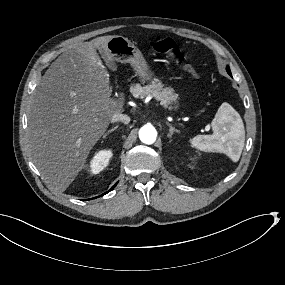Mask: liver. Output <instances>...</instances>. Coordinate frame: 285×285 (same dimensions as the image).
<instances>
[{
  "label": "liver",
  "instance_id": "obj_1",
  "mask_svg": "<svg viewBox=\"0 0 285 285\" xmlns=\"http://www.w3.org/2000/svg\"><path fill=\"white\" fill-rule=\"evenodd\" d=\"M112 37L73 46L37 84L28 115L27 147L54 190L64 192L75 181L113 114L124 111L125 97H112L110 75L97 53L117 70L107 47Z\"/></svg>",
  "mask_w": 285,
  "mask_h": 285
}]
</instances>
